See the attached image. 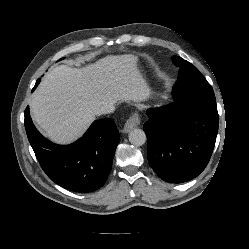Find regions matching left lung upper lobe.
Listing matches in <instances>:
<instances>
[{"mask_svg":"<svg viewBox=\"0 0 249 249\" xmlns=\"http://www.w3.org/2000/svg\"><path fill=\"white\" fill-rule=\"evenodd\" d=\"M172 61L180 68L178 80L173 87V91L180 98L197 95L215 98L211 85L195 66L177 56H173Z\"/></svg>","mask_w":249,"mask_h":249,"instance_id":"obj_1","label":"left lung upper lobe"}]
</instances>
